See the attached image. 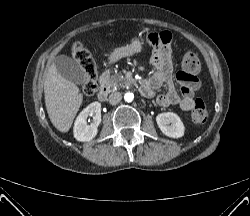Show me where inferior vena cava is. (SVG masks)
I'll list each match as a JSON object with an SVG mask.
<instances>
[{"label": "inferior vena cava", "mask_w": 250, "mask_h": 216, "mask_svg": "<svg viewBox=\"0 0 250 216\" xmlns=\"http://www.w3.org/2000/svg\"><path fill=\"white\" fill-rule=\"evenodd\" d=\"M122 99V94L120 92H114L109 96V103L112 105L118 104Z\"/></svg>", "instance_id": "obj_1"}]
</instances>
